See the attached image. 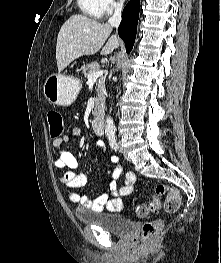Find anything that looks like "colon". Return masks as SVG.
Masks as SVG:
<instances>
[{
  "instance_id": "obj_1",
  "label": "colon",
  "mask_w": 221,
  "mask_h": 263,
  "mask_svg": "<svg viewBox=\"0 0 221 263\" xmlns=\"http://www.w3.org/2000/svg\"><path fill=\"white\" fill-rule=\"evenodd\" d=\"M49 124V134L51 138H58L63 134V118L59 111L49 110L47 113ZM166 197L164 201V210L167 213H174L180 207L181 195L179 191L165 184H158L155 188V194L148 203H139L135 206V214L138 217H147L151 212H156L161 206V198ZM160 220L147 221L142 227V237L144 240H151L161 228Z\"/></svg>"
}]
</instances>
